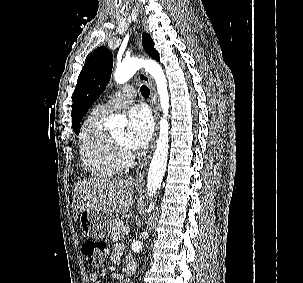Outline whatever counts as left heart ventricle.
I'll return each mask as SVG.
<instances>
[{"label": "left heart ventricle", "mask_w": 303, "mask_h": 283, "mask_svg": "<svg viewBox=\"0 0 303 283\" xmlns=\"http://www.w3.org/2000/svg\"><path fill=\"white\" fill-rule=\"evenodd\" d=\"M118 142L124 145V131H118L112 135Z\"/></svg>", "instance_id": "b2bd125f"}]
</instances>
